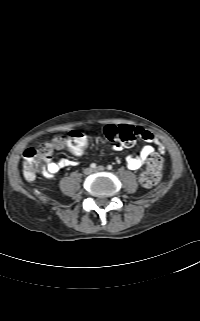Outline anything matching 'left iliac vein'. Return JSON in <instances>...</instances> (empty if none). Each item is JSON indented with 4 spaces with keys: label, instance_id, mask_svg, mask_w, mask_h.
<instances>
[{
    "label": "left iliac vein",
    "instance_id": "obj_1",
    "mask_svg": "<svg viewBox=\"0 0 200 321\" xmlns=\"http://www.w3.org/2000/svg\"><path fill=\"white\" fill-rule=\"evenodd\" d=\"M105 168L103 166H98L96 169H94V171L98 172V171H104Z\"/></svg>",
    "mask_w": 200,
    "mask_h": 321
}]
</instances>
